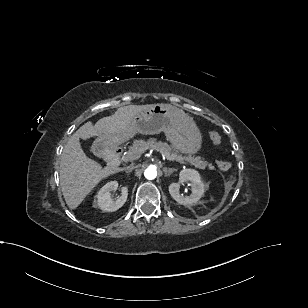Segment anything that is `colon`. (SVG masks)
Listing matches in <instances>:
<instances>
[{"mask_svg": "<svg viewBox=\"0 0 308 308\" xmlns=\"http://www.w3.org/2000/svg\"><path fill=\"white\" fill-rule=\"evenodd\" d=\"M209 136H210L211 141L215 145H220L221 144L222 138H221L220 134H218L215 131H211L209 133ZM217 165H218L219 169H221L223 171L229 170L231 168V166H232L230 161L224 160V159H218L217 160Z\"/></svg>", "mask_w": 308, "mask_h": 308, "instance_id": "colon-1", "label": "colon"}]
</instances>
